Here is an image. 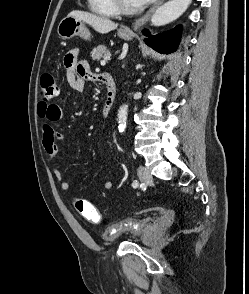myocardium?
Instances as JSON below:
<instances>
[{
    "mask_svg": "<svg viewBox=\"0 0 249 294\" xmlns=\"http://www.w3.org/2000/svg\"><path fill=\"white\" fill-rule=\"evenodd\" d=\"M114 6L116 7L117 11L119 13L123 14H134L139 11V8L137 7H128L125 3L124 0H112Z\"/></svg>",
    "mask_w": 249,
    "mask_h": 294,
    "instance_id": "myocardium-1",
    "label": "myocardium"
}]
</instances>
